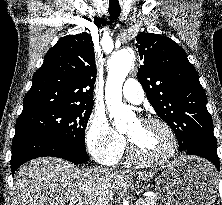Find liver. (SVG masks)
<instances>
[{
	"mask_svg": "<svg viewBox=\"0 0 222 205\" xmlns=\"http://www.w3.org/2000/svg\"><path fill=\"white\" fill-rule=\"evenodd\" d=\"M153 173L78 168L54 157L24 164L14 175L12 205H109L116 191L136 181L148 182Z\"/></svg>",
	"mask_w": 222,
	"mask_h": 205,
	"instance_id": "1",
	"label": "liver"
}]
</instances>
